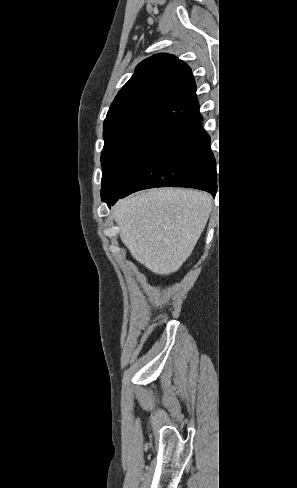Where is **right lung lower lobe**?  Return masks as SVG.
I'll return each mask as SVG.
<instances>
[{"mask_svg": "<svg viewBox=\"0 0 297 488\" xmlns=\"http://www.w3.org/2000/svg\"><path fill=\"white\" fill-rule=\"evenodd\" d=\"M202 116L176 130L159 146L119 198L154 187H190L217 193L216 165L210 149V137L202 128Z\"/></svg>", "mask_w": 297, "mask_h": 488, "instance_id": "1", "label": "right lung lower lobe"}]
</instances>
